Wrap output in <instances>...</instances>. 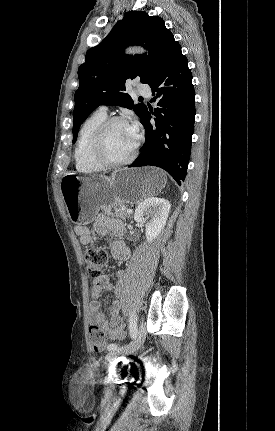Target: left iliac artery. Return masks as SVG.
Wrapping results in <instances>:
<instances>
[{
  "mask_svg": "<svg viewBox=\"0 0 275 431\" xmlns=\"http://www.w3.org/2000/svg\"><path fill=\"white\" fill-rule=\"evenodd\" d=\"M129 332L131 338L134 340L137 335V315L134 312L130 313L129 317ZM108 351L116 350L118 349V345L115 343H111L108 345Z\"/></svg>",
  "mask_w": 275,
  "mask_h": 431,
  "instance_id": "44dca946",
  "label": "left iliac artery"
}]
</instances>
